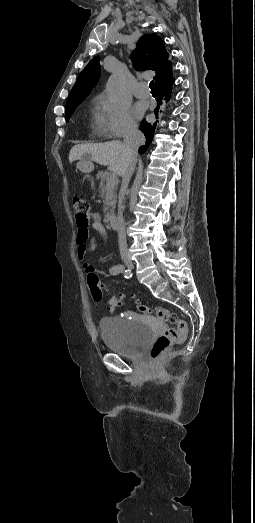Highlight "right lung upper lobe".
<instances>
[{
	"instance_id": "cb5924a9",
	"label": "right lung upper lobe",
	"mask_w": 255,
	"mask_h": 523,
	"mask_svg": "<svg viewBox=\"0 0 255 523\" xmlns=\"http://www.w3.org/2000/svg\"><path fill=\"white\" fill-rule=\"evenodd\" d=\"M134 67L140 70H152L156 73L154 80L157 91V105L162 102V96L169 99L174 78L172 76V63L170 55L165 49V43L156 34H145L137 42V48L131 55ZM99 57L92 59L80 73L75 85L73 86L68 102H82L96 86L101 67ZM159 106L154 109L156 118L158 117ZM156 124L148 123L143 120L140 130L144 133L146 143L139 148V152H145L152 142Z\"/></svg>"
}]
</instances>
